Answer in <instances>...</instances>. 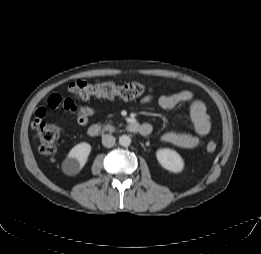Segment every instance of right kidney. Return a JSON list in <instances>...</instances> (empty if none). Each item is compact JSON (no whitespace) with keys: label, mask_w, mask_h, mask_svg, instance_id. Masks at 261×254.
I'll return each instance as SVG.
<instances>
[{"label":"right kidney","mask_w":261,"mask_h":254,"mask_svg":"<svg viewBox=\"0 0 261 254\" xmlns=\"http://www.w3.org/2000/svg\"><path fill=\"white\" fill-rule=\"evenodd\" d=\"M91 149V145L86 142L75 145L66 158V170L70 173L79 172L88 161Z\"/></svg>","instance_id":"ca27d5eb"}]
</instances>
